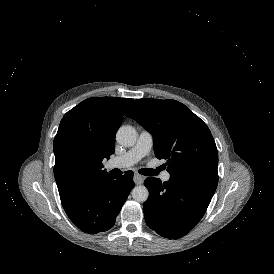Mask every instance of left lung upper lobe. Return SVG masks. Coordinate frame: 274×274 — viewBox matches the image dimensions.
I'll list each match as a JSON object with an SVG mask.
<instances>
[{
    "mask_svg": "<svg viewBox=\"0 0 274 274\" xmlns=\"http://www.w3.org/2000/svg\"><path fill=\"white\" fill-rule=\"evenodd\" d=\"M153 136L170 177L216 187L218 151L207 125L176 100L137 99L126 113Z\"/></svg>",
    "mask_w": 274,
    "mask_h": 274,
    "instance_id": "left-lung-upper-lobe-1",
    "label": "left lung upper lobe"
}]
</instances>
